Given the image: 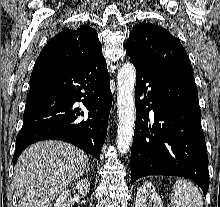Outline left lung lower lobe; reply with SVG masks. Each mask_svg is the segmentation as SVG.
I'll return each instance as SVG.
<instances>
[{"instance_id":"1","label":"left lung lower lobe","mask_w":220,"mask_h":207,"mask_svg":"<svg viewBox=\"0 0 220 207\" xmlns=\"http://www.w3.org/2000/svg\"><path fill=\"white\" fill-rule=\"evenodd\" d=\"M134 66L136 122L131 181L149 175L181 176L196 182L206 196L208 155L193 73L178 69L153 72ZM146 84L151 88L147 95ZM150 110L154 119L149 118Z\"/></svg>"}]
</instances>
